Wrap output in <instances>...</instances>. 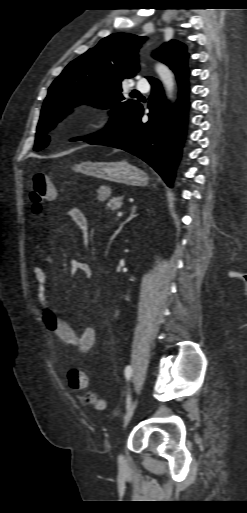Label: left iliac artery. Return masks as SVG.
<instances>
[{"mask_svg": "<svg viewBox=\"0 0 247 513\" xmlns=\"http://www.w3.org/2000/svg\"><path fill=\"white\" fill-rule=\"evenodd\" d=\"M132 371H133V370H132V367H131L130 365L126 366V368H125V371H124V372H125V377H126V379H127V380H129V379L131 378V376H132ZM130 401H131V398H130V396L128 395V396H127V408H128V407H129V405H130Z\"/></svg>", "mask_w": 247, "mask_h": 513, "instance_id": "1", "label": "left iliac artery"}]
</instances>
